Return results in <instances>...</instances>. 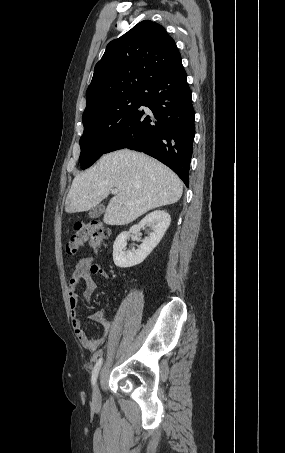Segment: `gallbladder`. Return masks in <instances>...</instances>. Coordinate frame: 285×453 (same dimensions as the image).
I'll list each match as a JSON object with an SVG mask.
<instances>
[{"label": "gallbladder", "mask_w": 285, "mask_h": 453, "mask_svg": "<svg viewBox=\"0 0 285 453\" xmlns=\"http://www.w3.org/2000/svg\"><path fill=\"white\" fill-rule=\"evenodd\" d=\"M105 212V206L97 205L89 211L90 218H98Z\"/></svg>", "instance_id": "obj_1"}]
</instances>
